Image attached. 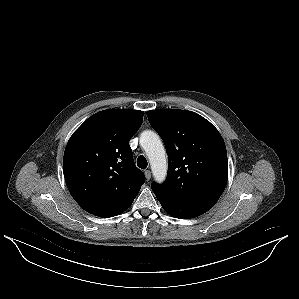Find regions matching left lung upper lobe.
Instances as JSON below:
<instances>
[{
	"instance_id": "5c2ea615",
	"label": "left lung upper lobe",
	"mask_w": 299,
	"mask_h": 299,
	"mask_svg": "<svg viewBox=\"0 0 299 299\" xmlns=\"http://www.w3.org/2000/svg\"><path fill=\"white\" fill-rule=\"evenodd\" d=\"M169 157L168 175L153 192L177 202L214 205L228 179L224 140L218 130L197 113L159 109L147 112Z\"/></svg>"
}]
</instances>
